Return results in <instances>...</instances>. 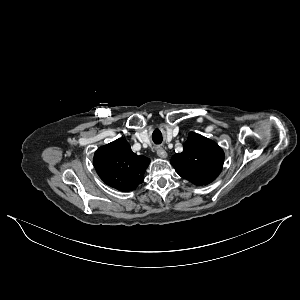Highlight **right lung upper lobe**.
<instances>
[{
	"mask_svg": "<svg viewBox=\"0 0 300 300\" xmlns=\"http://www.w3.org/2000/svg\"><path fill=\"white\" fill-rule=\"evenodd\" d=\"M150 160L132 152L124 139H117L100 147L94 154L93 164L100 178L119 191H132L143 182Z\"/></svg>",
	"mask_w": 300,
	"mask_h": 300,
	"instance_id": "cb5924a9",
	"label": "right lung upper lobe"
}]
</instances>
